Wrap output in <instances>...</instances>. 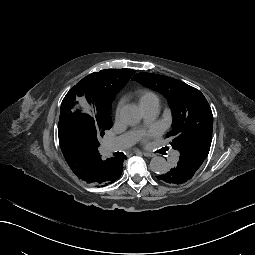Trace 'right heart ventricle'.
Here are the masks:
<instances>
[{"instance_id":"e07e8e85","label":"right heart ventricle","mask_w":255,"mask_h":255,"mask_svg":"<svg viewBox=\"0 0 255 255\" xmlns=\"http://www.w3.org/2000/svg\"><path fill=\"white\" fill-rule=\"evenodd\" d=\"M139 104L142 108L152 104L159 105V97L153 90H144L139 97Z\"/></svg>"}]
</instances>
